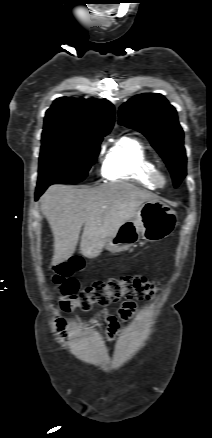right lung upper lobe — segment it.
<instances>
[{
  "instance_id": "obj_1",
  "label": "right lung upper lobe",
  "mask_w": 212,
  "mask_h": 438,
  "mask_svg": "<svg viewBox=\"0 0 212 438\" xmlns=\"http://www.w3.org/2000/svg\"><path fill=\"white\" fill-rule=\"evenodd\" d=\"M114 120V109L109 101L62 97L47 110L42 134L107 135Z\"/></svg>"
}]
</instances>
